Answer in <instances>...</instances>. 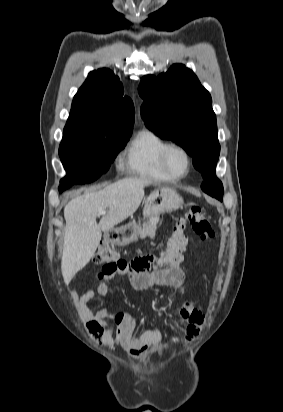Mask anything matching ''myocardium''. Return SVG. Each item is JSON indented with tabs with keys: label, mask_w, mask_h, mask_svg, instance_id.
Instances as JSON below:
<instances>
[{
	"label": "myocardium",
	"mask_w": 283,
	"mask_h": 412,
	"mask_svg": "<svg viewBox=\"0 0 283 412\" xmlns=\"http://www.w3.org/2000/svg\"><path fill=\"white\" fill-rule=\"evenodd\" d=\"M174 150H177V151L182 152V153L185 155V157H186V160H187V168H186L185 172H183V173H175V172L172 171V170L170 169V167H169L168 158H169L170 153H171L172 151H174ZM192 165H193V158H192L191 153L189 152V150H188L186 147H184V146L181 145V144H178V143H168V144L164 147V149L162 150V152H161V155H160V166H161L163 172H164L168 177H170V178H172V179H181V178L186 177V176L190 173V171H191V169H192Z\"/></svg>",
	"instance_id": "f54148a6"
}]
</instances>
